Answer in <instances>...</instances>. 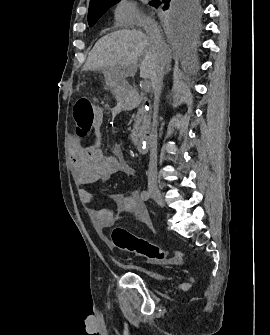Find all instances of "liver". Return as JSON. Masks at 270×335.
Wrapping results in <instances>:
<instances>
[{"mask_svg": "<svg viewBox=\"0 0 270 335\" xmlns=\"http://www.w3.org/2000/svg\"><path fill=\"white\" fill-rule=\"evenodd\" d=\"M141 78H153L157 70L165 68L171 56L166 44L153 46L147 36L140 30H117L107 34L96 42L88 54L83 70H103L115 68L120 78L135 76L138 60Z\"/></svg>", "mask_w": 270, "mask_h": 335, "instance_id": "obj_1", "label": "liver"}]
</instances>
